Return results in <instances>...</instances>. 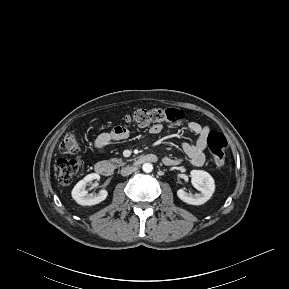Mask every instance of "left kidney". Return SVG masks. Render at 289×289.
<instances>
[{"label": "left kidney", "instance_id": "left-kidney-1", "mask_svg": "<svg viewBox=\"0 0 289 289\" xmlns=\"http://www.w3.org/2000/svg\"><path fill=\"white\" fill-rule=\"evenodd\" d=\"M192 185L201 193L191 194L183 189L177 191V196L183 202L192 205H201L207 202L214 193L215 184L212 176L203 170H192L190 172Z\"/></svg>", "mask_w": 289, "mask_h": 289}]
</instances>
